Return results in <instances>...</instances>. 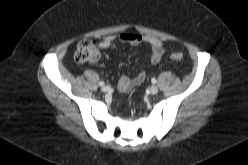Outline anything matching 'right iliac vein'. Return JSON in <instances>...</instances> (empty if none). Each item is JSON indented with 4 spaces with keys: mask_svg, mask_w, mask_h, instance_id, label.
<instances>
[{
    "mask_svg": "<svg viewBox=\"0 0 248 165\" xmlns=\"http://www.w3.org/2000/svg\"><path fill=\"white\" fill-rule=\"evenodd\" d=\"M101 90H102L103 92H108V91L110 90V87H109V86H103V87L101 88Z\"/></svg>",
    "mask_w": 248,
    "mask_h": 165,
    "instance_id": "right-iliac-vein-1",
    "label": "right iliac vein"
}]
</instances>
